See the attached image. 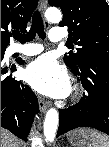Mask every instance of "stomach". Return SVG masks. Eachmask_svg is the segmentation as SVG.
<instances>
[{
  "label": "stomach",
  "instance_id": "1",
  "mask_svg": "<svg viewBox=\"0 0 109 147\" xmlns=\"http://www.w3.org/2000/svg\"><path fill=\"white\" fill-rule=\"evenodd\" d=\"M95 131L89 128L75 129L67 134V139L73 147H90L91 133Z\"/></svg>",
  "mask_w": 109,
  "mask_h": 147
}]
</instances>
